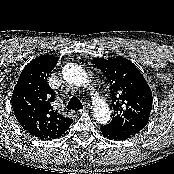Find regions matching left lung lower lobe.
<instances>
[{
  "label": "left lung lower lobe",
  "instance_id": "left-lung-lower-lobe-1",
  "mask_svg": "<svg viewBox=\"0 0 174 174\" xmlns=\"http://www.w3.org/2000/svg\"><path fill=\"white\" fill-rule=\"evenodd\" d=\"M100 130L102 134L104 135V137L108 139H112V140H117V141H123L134 136L128 133L116 131L112 129L111 127H109L108 125L101 126Z\"/></svg>",
  "mask_w": 174,
  "mask_h": 174
}]
</instances>
